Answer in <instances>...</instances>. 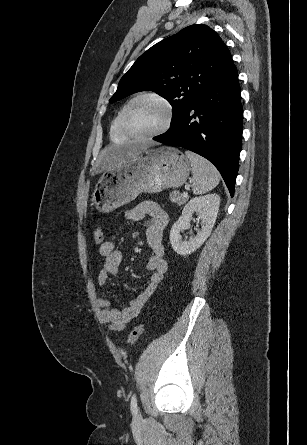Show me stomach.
<instances>
[{
	"label": "stomach",
	"mask_w": 307,
	"mask_h": 445,
	"mask_svg": "<svg viewBox=\"0 0 307 445\" xmlns=\"http://www.w3.org/2000/svg\"><path fill=\"white\" fill-rule=\"evenodd\" d=\"M190 160L174 146L142 148L127 162H118L101 174L93 192L99 212H111L128 204L141 192H161L186 182Z\"/></svg>",
	"instance_id": "1"
}]
</instances>
